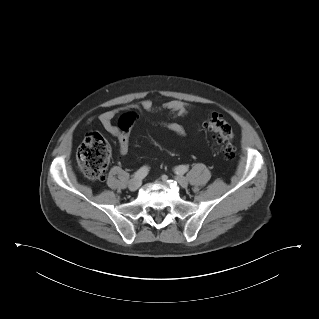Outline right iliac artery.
I'll list each match as a JSON object with an SVG mask.
<instances>
[{
	"label": "right iliac artery",
	"instance_id": "82829eb1",
	"mask_svg": "<svg viewBox=\"0 0 319 319\" xmlns=\"http://www.w3.org/2000/svg\"><path fill=\"white\" fill-rule=\"evenodd\" d=\"M148 171H149V168L147 166H143L137 172L134 173L133 177L142 179L147 175Z\"/></svg>",
	"mask_w": 319,
	"mask_h": 319
}]
</instances>
